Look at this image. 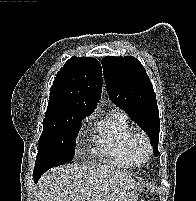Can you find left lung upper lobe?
Listing matches in <instances>:
<instances>
[{
  "label": "left lung upper lobe",
  "mask_w": 196,
  "mask_h": 201,
  "mask_svg": "<svg viewBox=\"0 0 196 201\" xmlns=\"http://www.w3.org/2000/svg\"><path fill=\"white\" fill-rule=\"evenodd\" d=\"M102 66L110 99L147 132L158 156L160 119L156 95L145 68L131 56L104 57Z\"/></svg>",
  "instance_id": "left-lung-upper-lobe-1"
}]
</instances>
